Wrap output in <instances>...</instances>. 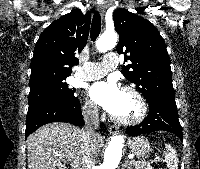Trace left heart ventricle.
Segmentation results:
<instances>
[{
  "instance_id": "left-heart-ventricle-1",
  "label": "left heart ventricle",
  "mask_w": 200,
  "mask_h": 169,
  "mask_svg": "<svg viewBox=\"0 0 200 169\" xmlns=\"http://www.w3.org/2000/svg\"><path fill=\"white\" fill-rule=\"evenodd\" d=\"M138 111L137 99L132 94L121 91L119 103L113 115L119 118H132Z\"/></svg>"
}]
</instances>
